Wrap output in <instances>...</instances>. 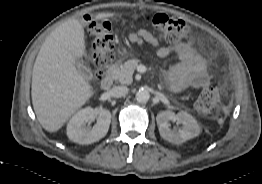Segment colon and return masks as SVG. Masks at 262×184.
Instances as JSON below:
<instances>
[{"label": "colon", "mask_w": 262, "mask_h": 184, "mask_svg": "<svg viewBox=\"0 0 262 184\" xmlns=\"http://www.w3.org/2000/svg\"><path fill=\"white\" fill-rule=\"evenodd\" d=\"M93 48L95 77L100 79L114 59V38L109 22L85 17ZM146 21L157 35L169 43L185 39L190 32L189 25L180 19L157 13L146 16ZM218 91L214 86L204 88L196 99V110L203 116L213 118L217 114Z\"/></svg>", "instance_id": "1"}]
</instances>
